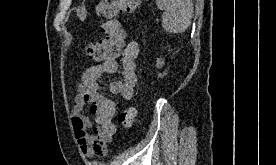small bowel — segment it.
Wrapping results in <instances>:
<instances>
[{"label": "small bowel", "instance_id": "c3829d8e", "mask_svg": "<svg viewBox=\"0 0 276 165\" xmlns=\"http://www.w3.org/2000/svg\"><path fill=\"white\" fill-rule=\"evenodd\" d=\"M138 55L139 44L131 40L124 47L119 62L104 61L90 66L81 74L74 99L72 126L77 143L85 156L104 155L108 142L116 133V126L113 123L115 104L106 96L101 78L104 75L120 73L122 79L112 81L109 84V91L125 100H131L138 80L136 72ZM88 104L96 124L93 133H89L92 127L90 119L82 113Z\"/></svg>", "mask_w": 276, "mask_h": 165}]
</instances>
